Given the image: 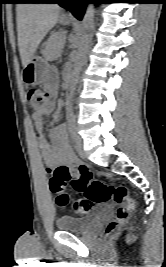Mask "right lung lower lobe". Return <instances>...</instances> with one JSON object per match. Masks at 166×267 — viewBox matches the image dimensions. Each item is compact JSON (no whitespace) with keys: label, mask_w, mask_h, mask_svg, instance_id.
Wrapping results in <instances>:
<instances>
[{"label":"right lung lower lobe","mask_w":166,"mask_h":267,"mask_svg":"<svg viewBox=\"0 0 166 267\" xmlns=\"http://www.w3.org/2000/svg\"><path fill=\"white\" fill-rule=\"evenodd\" d=\"M51 0H28L27 3H49Z\"/></svg>","instance_id":"right-lung-lower-lobe-1"}]
</instances>
